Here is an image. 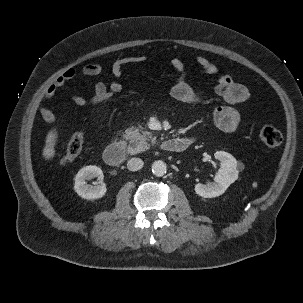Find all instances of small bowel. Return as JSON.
Instances as JSON below:
<instances>
[{"instance_id":"1","label":"small bowel","mask_w":303,"mask_h":303,"mask_svg":"<svg viewBox=\"0 0 303 303\" xmlns=\"http://www.w3.org/2000/svg\"><path fill=\"white\" fill-rule=\"evenodd\" d=\"M147 61L145 55L126 56L115 60L110 72L115 78H120L124 75V68L128 65L141 64ZM171 67L175 71V81L170 89L171 96L182 103L193 104L203 101L206 94L203 91L197 90L187 81V68L185 63L180 58H172L170 61ZM198 67L208 75L217 74L220 67L204 56L196 58ZM104 71V67L100 64H87L83 66L82 73L86 76H96ZM75 70L68 69L63 72L51 85L47 87L42 96V101L51 99L55 94L63 88L68 82L75 77ZM123 90L122 84L113 80L109 84L98 81L94 85L93 96L90 100L79 95H72L71 99L77 105H87L91 100L100 98L104 93L111 94L120 93ZM215 93L227 105L216 107L211 113L213 124L222 131L233 132L244 125L242 116L238 110L231 107L233 104L244 103L249 100L250 93L246 86L235 81L230 74H224L219 77L215 86ZM42 119L49 124L55 122L56 117L48 107L39 108Z\"/></svg>"}]
</instances>
